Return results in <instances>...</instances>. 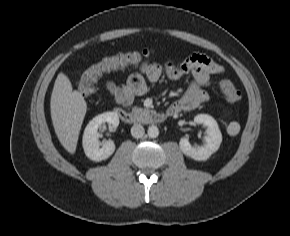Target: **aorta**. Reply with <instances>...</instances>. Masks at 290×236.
<instances>
[{
	"label": "aorta",
	"instance_id": "obj_1",
	"mask_svg": "<svg viewBox=\"0 0 290 236\" xmlns=\"http://www.w3.org/2000/svg\"><path fill=\"white\" fill-rule=\"evenodd\" d=\"M158 135H159V129L157 126L152 125L148 128V136L150 138H156L158 137Z\"/></svg>",
	"mask_w": 290,
	"mask_h": 236
}]
</instances>
